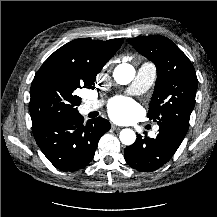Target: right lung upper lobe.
<instances>
[{"label": "right lung upper lobe", "instance_id": "1", "mask_svg": "<svg viewBox=\"0 0 217 217\" xmlns=\"http://www.w3.org/2000/svg\"><path fill=\"white\" fill-rule=\"evenodd\" d=\"M123 43V39L107 41L76 39L56 50L39 71L57 69L81 81L94 83L96 75Z\"/></svg>", "mask_w": 217, "mask_h": 217}]
</instances>
